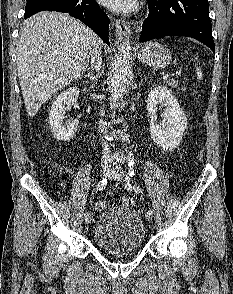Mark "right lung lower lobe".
Segmentation results:
<instances>
[{"label": "right lung lower lobe", "mask_w": 233, "mask_h": 294, "mask_svg": "<svg viewBox=\"0 0 233 294\" xmlns=\"http://www.w3.org/2000/svg\"><path fill=\"white\" fill-rule=\"evenodd\" d=\"M59 11L81 20L89 26L106 44L108 38L109 18L95 0H48L25 11L24 18L40 11Z\"/></svg>", "instance_id": "1"}]
</instances>
